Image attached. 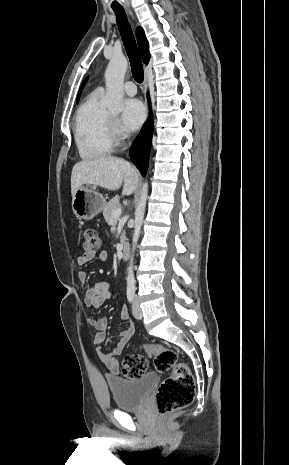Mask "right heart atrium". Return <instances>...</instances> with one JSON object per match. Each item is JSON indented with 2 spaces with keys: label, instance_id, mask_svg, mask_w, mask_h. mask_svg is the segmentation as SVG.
<instances>
[{
  "label": "right heart atrium",
  "instance_id": "d8ad5b80",
  "mask_svg": "<svg viewBox=\"0 0 289 465\" xmlns=\"http://www.w3.org/2000/svg\"><path fill=\"white\" fill-rule=\"evenodd\" d=\"M112 129H113V132L117 135H123V132L118 124L117 121H114L113 125H112Z\"/></svg>",
  "mask_w": 289,
  "mask_h": 465
}]
</instances>
